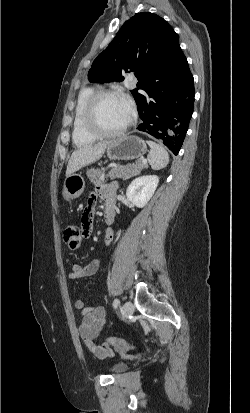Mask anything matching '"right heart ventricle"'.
Wrapping results in <instances>:
<instances>
[{
	"label": "right heart ventricle",
	"instance_id": "right-heart-ventricle-1",
	"mask_svg": "<svg viewBox=\"0 0 250 413\" xmlns=\"http://www.w3.org/2000/svg\"><path fill=\"white\" fill-rule=\"evenodd\" d=\"M97 91L95 87H86L82 89L78 95L74 119H73V130H72V140L75 146L82 147L93 143L96 138L87 132L84 126V111L86 104L90 97Z\"/></svg>",
	"mask_w": 250,
	"mask_h": 413
}]
</instances>
